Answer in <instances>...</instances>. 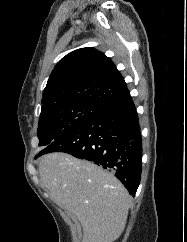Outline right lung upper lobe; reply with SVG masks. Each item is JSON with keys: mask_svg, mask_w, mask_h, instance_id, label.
Instances as JSON below:
<instances>
[{"mask_svg": "<svg viewBox=\"0 0 187 242\" xmlns=\"http://www.w3.org/2000/svg\"><path fill=\"white\" fill-rule=\"evenodd\" d=\"M130 94L114 63L94 48L77 49L63 57L43 91L41 113L71 103L104 107Z\"/></svg>", "mask_w": 187, "mask_h": 242, "instance_id": "cb5924a9", "label": "right lung upper lobe"}]
</instances>
